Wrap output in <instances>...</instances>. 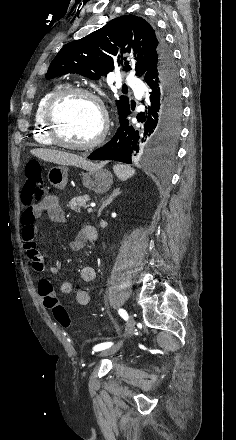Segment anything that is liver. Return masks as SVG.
Segmentation results:
<instances>
[{
    "label": "liver",
    "instance_id": "1",
    "mask_svg": "<svg viewBox=\"0 0 236 440\" xmlns=\"http://www.w3.org/2000/svg\"><path fill=\"white\" fill-rule=\"evenodd\" d=\"M31 154L35 155L40 159H43L44 161L52 162L63 166L70 165V166L81 167L85 170L100 166L93 164L92 162L87 161L85 158L80 157L76 154L52 150V149H44V148L33 149L31 150Z\"/></svg>",
    "mask_w": 236,
    "mask_h": 440
}]
</instances>
